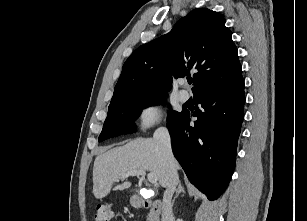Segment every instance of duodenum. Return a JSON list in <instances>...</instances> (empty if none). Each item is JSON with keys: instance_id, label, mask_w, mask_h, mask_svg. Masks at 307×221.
<instances>
[{"instance_id": "obj_1", "label": "duodenum", "mask_w": 307, "mask_h": 221, "mask_svg": "<svg viewBox=\"0 0 307 221\" xmlns=\"http://www.w3.org/2000/svg\"><path fill=\"white\" fill-rule=\"evenodd\" d=\"M137 204L141 208L149 209L150 221H160V216L162 212L161 200L139 199L137 201Z\"/></svg>"}]
</instances>
